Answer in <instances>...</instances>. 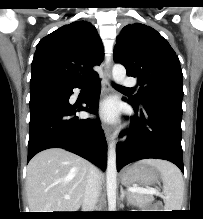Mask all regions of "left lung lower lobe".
I'll use <instances>...</instances> for the list:
<instances>
[{
	"label": "left lung lower lobe",
	"mask_w": 203,
	"mask_h": 219,
	"mask_svg": "<svg viewBox=\"0 0 203 219\" xmlns=\"http://www.w3.org/2000/svg\"><path fill=\"white\" fill-rule=\"evenodd\" d=\"M128 103L136 115L131 117L123 142L117 144V170L141 159H164L174 163L183 172L181 146L182 100L169 97H150L136 104Z\"/></svg>",
	"instance_id": "1"
}]
</instances>
